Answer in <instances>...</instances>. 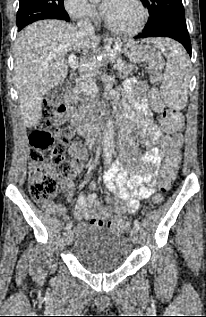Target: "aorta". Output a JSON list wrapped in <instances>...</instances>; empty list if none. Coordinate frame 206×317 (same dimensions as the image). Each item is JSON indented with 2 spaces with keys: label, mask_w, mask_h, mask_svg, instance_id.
<instances>
[{
  "label": "aorta",
  "mask_w": 206,
  "mask_h": 317,
  "mask_svg": "<svg viewBox=\"0 0 206 317\" xmlns=\"http://www.w3.org/2000/svg\"><path fill=\"white\" fill-rule=\"evenodd\" d=\"M102 145L104 160L109 164L114 150V120L112 116L106 121Z\"/></svg>",
  "instance_id": "1"
}]
</instances>
